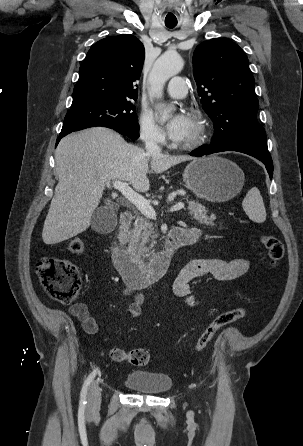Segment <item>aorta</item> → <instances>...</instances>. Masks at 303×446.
I'll use <instances>...</instances> for the list:
<instances>
[{
  "instance_id": "aorta-1",
  "label": "aorta",
  "mask_w": 303,
  "mask_h": 446,
  "mask_svg": "<svg viewBox=\"0 0 303 446\" xmlns=\"http://www.w3.org/2000/svg\"><path fill=\"white\" fill-rule=\"evenodd\" d=\"M182 58L173 51L165 52L154 63L153 68L149 74V94L153 97H161L163 87L166 81L174 75H177L183 68ZM158 109L163 112H168L173 109V106L159 105Z\"/></svg>"
}]
</instances>
